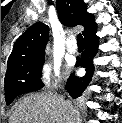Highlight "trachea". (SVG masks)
Returning <instances> with one entry per match:
<instances>
[{"instance_id": "1", "label": "trachea", "mask_w": 122, "mask_h": 123, "mask_svg": "<svg viewBox=\"0 0 122 123\" xmlns=\"http://www.w3.org/2000/svg\"><path fill=\"white\" fill-rule=\"evenodd\" d=\"M77 43L78 45H84V39L81 33L77 35Z\"/></svg>"}]
</instances>
